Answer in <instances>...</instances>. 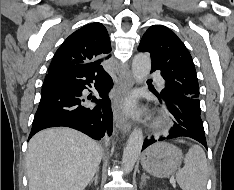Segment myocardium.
Segmentation results:
<instances>
[{
  "mask_svg": "<svg viewBox=\"0 0 234 190\" xmlns=\"http://www.w3.org/2000/svg\"><path fill=\"white\" fill-rule=\"evenodd\" d=\"M162 124H163L162 121H157V122H156V125H157V126H161Z\"/></svg>",
  "mask_w": 234,
  "mask_h": 190,
  "instance_id": "myocardium-1",
  "label": "myocardium"
}]
</instances>
